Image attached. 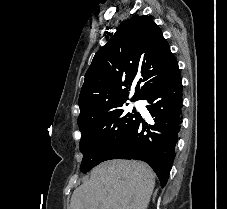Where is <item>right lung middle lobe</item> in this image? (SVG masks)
Here are the masks:
<instances>
[{
    "instance_id": "obj_1",
    "label": "right lung middle lobe",
    "mask_w": 227,
    "mask_h": 209,
    "mask_svg": "<svg viewBox=\"0 0 227 209\" xmlns=\"http://www.w3.org/2000/svg\"><path fill=\"white\" fill-rule=\"evenodd\" d=\"M125 102L126 99H106L103 102L105 110L102 113L78 119L82 133L79 146L83 153L81 172L85 173L98 165L116 142L140 118V113L135 109L132 113L125 112L123 108Z\"/></svg>"
}]
</instances>
